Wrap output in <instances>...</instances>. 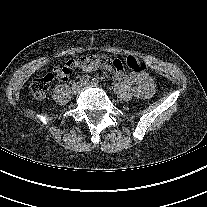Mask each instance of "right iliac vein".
Listing matches in <instances>:
<instances>
[{
    "label": "right iliac vein",
    "mask_w": 207,
    "mask_h": 207,
    "mask_svg": "<svg viewBox=\"0 0 207 207\" xmlns=\"http://www.w3.org/2000/svg\"><path fill=\"white\" fill-rule=\"evenodd\" d=\"M82 89V84L81 83H75L73 86H72V90L75 94L79 93Z\"/></svg>",
    "instance_id": "obj_1"
}]
</instances>
